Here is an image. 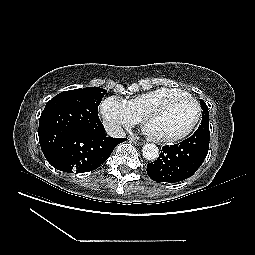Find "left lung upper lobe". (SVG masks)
<instances>
[{
	"mask_svg": "<svg viewBox=\"0 0 255 255\" xmlns=\"http://www.w3.org/2000/svg\"><path fill=\"white\" fill-rule=\"evenodd\" d=\"M200 103H201V106L203 109L202 121H201V124H202L204 122H209V111H208V107H207L206 103L202 99H200Z\"/></svg>",
	"mask_w": 255,
	"mask_h": 255,
	"instance_id": "obj_1",
	"label": "left lung upper lobe"
}]
</instances>
